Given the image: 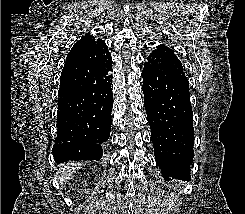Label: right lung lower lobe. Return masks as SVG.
I'll return each mask as SVG.
<instances>
[{
  "instance_id": "right-lung-lower-lobe-1",
  "label": "right lung lower lobe",
  "mask_w": 245,
  "mask_h": 214,
  "mask_svg": "<svg viewBox=\"0 0 245 214\" xmlns=\"http://www.w3.org/2000/svg\"><path fill=\"white\" fill-rule=\"evenodd\" d=\"M111 57L92 83L79 85L75 59H67L60 77L57 137L53 145L56 163L69 160H99L101 144L111 130L113 94Z\"/></svg>"
}]
</instances>
